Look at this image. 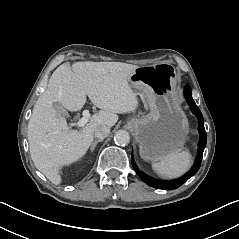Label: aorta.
<instances>
[{
    "label": "aorta",
    "mask_w": 239,
    "mask_h": 239,
    "mask_svg": "<svg viewBox=\"0 0 239 239\" xmlns=\"http://www.w3.org/2000/svg\"><path fill=\"white\" fill-rule=\"evenodd\" d=\"M114 140L118 145H127L130 143V134L126 130H118L114 135Z\"/></svg>",
    "instance_id": "obj_1"
}]
</instances>
